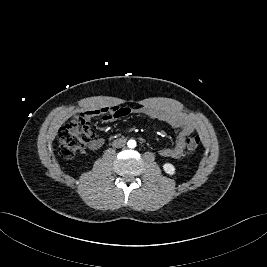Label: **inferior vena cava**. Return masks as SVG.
<instances>
[{
    "mask_svg": "<svg viewBox=\"0 0 267 267\" xmlns=\"http://www.w3.org/2000/svg\"><path fill=\"white\" fill-rule=\"evenodd\" d=\"M125 143H126L125 139L120 138L114 140L112 145L114 148H121L125 146Z\"/></svg>",
    "mask_w": 267,
    "mask_h": 267,
    "instance_id": "obj_1",
    "label": "inferior vena cava"
}]
</instances>
